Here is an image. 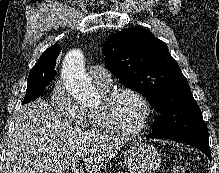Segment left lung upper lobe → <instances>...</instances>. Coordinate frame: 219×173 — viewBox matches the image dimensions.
Returning a JSON list of instances; mask_svg holds the SVG:
<instances>
[{
	"mask_svg": "<svg viewBox=\"0 0 219 173\" xmlns=\"http://www.w3.org/2000/svg\"><path fill=\"white\" fill-rule=\"evenodd\" d=\"M106 67L128 88L143 94L161 113L153 137H208L189 84L167 45L143 28L113 34L103 45Z\"/></svg>",
	"mask_w": 219,
	"mask_h": 173,
	"instance_id": "left-lung-upper-lobe-1",
	"label": "left lung upper lobe"
}]
</instances>
